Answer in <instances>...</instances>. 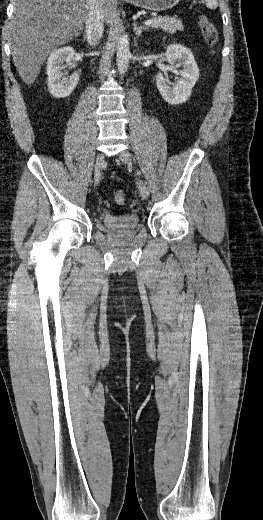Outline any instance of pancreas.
Listing matches in <instances>:
<instances>
[{
  "instance_id": "obj_1",
  "label": "pancreas",
  "mask_w": 263,
  "mask_h": 520,
  "mask_svg": "<svg viewBox=\"0 0 263 520\" xmlns=\"http://www.w3.org/2000/svg\"><path fill=\"white\" fill-rule=\"evenodd\" d=\"M152 19L156 20V23L151 24L152 28L162 29L169 33H175L177 30H183V24L180 19L177 17H153Z\"/></svg>"
}]
</instances>
